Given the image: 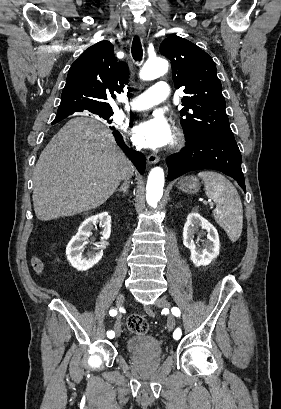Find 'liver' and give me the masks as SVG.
Here are the masks:
<instances>
[{"instance_id":"obj_1","label":"liver","mask_w":281,"mask_h":409,"mask_svg":"<svg viewBox=\"0 0 281 409\" xmlns=\"http://www.w3.org/2000/svg\"><path fill=\"white\" fill-rule=\"evenodd\" d=\"M105 124L76 116L54 134L37 164L33 207L39 221L96 209L113 194L124 174L133 172Z\"/></svg>"}]
</instances>
